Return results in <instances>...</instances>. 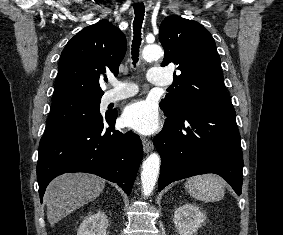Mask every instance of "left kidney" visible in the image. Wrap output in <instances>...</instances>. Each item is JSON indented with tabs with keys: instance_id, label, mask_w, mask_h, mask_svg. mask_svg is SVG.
Returning <instances> with one entry per match:
<instances>
[{
	"instance_id": "left-kidney-1",
	"label": "left kidney",
	"mask_w": 283,
	"mask_h": 235,
	"mask_svg": "<svg viewBox=\"0 0 283 235\" xmlns=\"http://www.w3.org/2000/svg\"><path fill=\"white\" fill-rule=\"evenodd\" d=\"M206 220V215L193 204H184L174 212V224L180 235H193Z\"/></svg>"
}]
</instances>
